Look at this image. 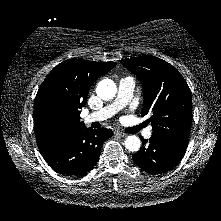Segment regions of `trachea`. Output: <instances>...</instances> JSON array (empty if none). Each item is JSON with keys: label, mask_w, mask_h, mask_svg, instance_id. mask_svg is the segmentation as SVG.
I'll list each match as a JSON object with an SVG mask.
<instances>
[{"label": "trachea", "mask_w": 221, "mask_h": 221, "mask_svg": "<svg viewBox=\"0 0 221 221\" xmlns=\"http://www.w3.org/2000/svg\"><path fill=\"white\" fill-rule=\"evenodd\" d=\"M143 127H144V125L141 124V125H139V126H137V127L132 128L131 130L126 131V132H127V133H135V132H137L138 130H140L141 128H143Z\"/></svg>", "instance_id": "obj_1"}]
</instances>
